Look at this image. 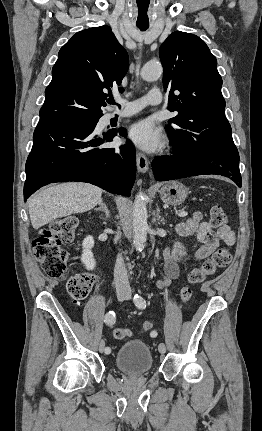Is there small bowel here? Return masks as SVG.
Returning <instances> with one entry per match:
<instances>
[{
    "mask_svg": "<svg viewBox=\"0 0 262 431\" xmlns=\"http://www.w3.org/2000/svg\"><path fill=\"white\" fill-rule=\"evenodd\" d=\"M201 219L202 214L197 212L192 218L177 225V232L180 236L194 237L198 242L195 250L196 258L203 259L212 254L220 240L229 247L235 243L234 233L228 226L213 227L208 222H200ZM184 253V246L180 241L174 242L170 248L165 250L164 278L158 283L159 288H165L172 280L178 278L179 261ZM150 336L152 337V332Z\"/></svg>",
    "mask_w": 262,
    "mask_h": 431,
    "instance_id": "1",
    "label": "small bowel"
}]
</instances>
